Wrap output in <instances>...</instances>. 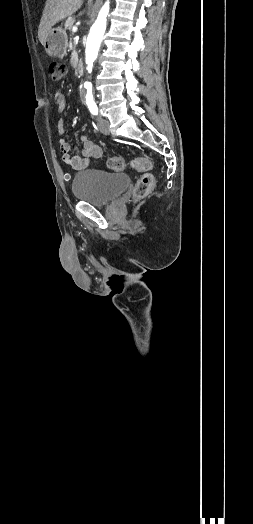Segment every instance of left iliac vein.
Masks as SVG:
<instances>
[{
  "label": "left iliac vein",
  "mask_w": 253,
  "mask_h": 524,
  "mask_svg": "<svg viewBox=\"0 0 253 524\" xmlns=\"http://www.w3.org/2000/svg\"><path fill=\"white\" fill-rule=\"evenodd\" d=\"M98 127H99V130L103 134L105 135L109 134V122L105 118H102V117L98 118Z\"/></svg>",
  "instance_id": "1"
}]
</instances>
